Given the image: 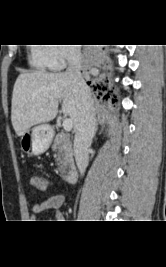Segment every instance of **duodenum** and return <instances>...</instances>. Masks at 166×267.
<instances>
[{
  "label": "duodenum",
  "instance_id": "duodenum-1",
  "mask_svg": "<svg viewBox=\"0 0 166 267\" xmlns=\"http://www.w3.org/2000/svg\"><path fill=\"white\" fill-rule=\"evenodd\" d=\"M78 170L76 168H71L66 172V180L69 183L74 182L77 179Z\"/></svg>",
  "mask_w": 166,
  "mask_h": 267
}]
</instances>
